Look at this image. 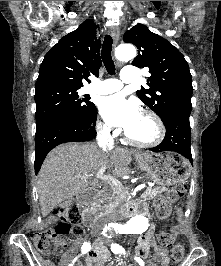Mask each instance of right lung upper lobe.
<instances>
[{
    "label": "right lung upper lobe",
    "instance_id": "1",
    "mask_svg": "<svg viewBox=\"0 0 221 266\" xmlns=\"http://www.w3.org/2000/svg\"><path fill=\"white\" fill-rule=\"evenodd\" d=\"M97 25L85 20L75 31L62 37L45 55L35 88L66 86L81 88L82 80L98 76L101 66Z\"/></svg>",
    "mask_w": 221,
    "mask_h": 266
}]
</instances>
